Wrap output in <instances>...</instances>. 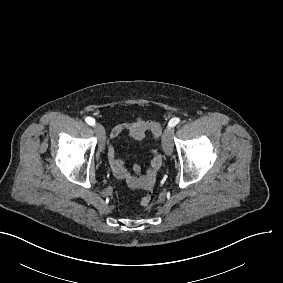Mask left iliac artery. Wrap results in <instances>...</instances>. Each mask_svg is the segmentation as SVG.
Masks as SVG:
<instances>
[{"label": "left iliac artery", "instance_id": "1", "mask_svg": "<svg viewBox=\"0 0 283 283\" xmlns=\"http://www.w3.org/2000/svg\"><path fill=\"white\" fill-rule=\"evenodd\" d=\"M180 119L179 118H172L169 123H168V126L169 127H174L175 125H177L179 123Z\"/></svg>", "mask_w": 283, "mask_h": 283}]
</instances>
